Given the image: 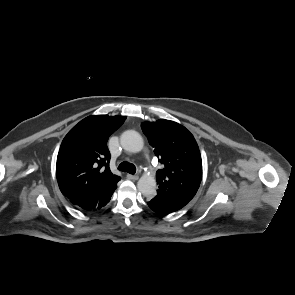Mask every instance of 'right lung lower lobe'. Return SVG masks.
Segmentation results:
<instances>
[{
	"label": "right lung lower lobe",
	"instance_id": "98d812e1",
	"mask_svg": "<svg viewBox=\"0 0 295 295\" xmlns=\"http://www.w3.org/2000/svg\"><path fill=\"white\" fill-rule=\"evenodd\" d=\"M120 179L115 180L108 186H106L103 190H101L98 194L81 200H73L71 201L76 207L83 209L84 211H96L103 208L109 201L110 198L117 188V183Z\"/></svg>",
	"mask_w": 295,
	"mask_h": 295
}]
</instances>
